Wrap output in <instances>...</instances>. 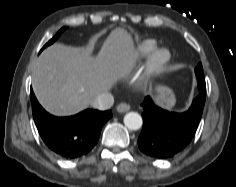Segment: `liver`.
<instances>
[{"mask_svg":"<svg viewBox=\"0 0 236 187\" xmlns=\"http://www.w3.org/2000/svg\"><path fill=\"white\" fill-rule=\"evenodd\" d=\"M135 61L133 39L123 28L110 33L97 57L92 56L90 48L56 43L46 48L34 63L33 91L49 113L73 115L127 77Z\"/></svg>","mask_w":236,"mask_h":187,"instance_id":"liver-1","label":"liver"}]
</instances>
